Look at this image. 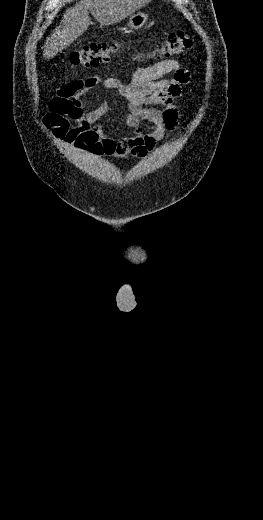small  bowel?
<instances>
[{"label": "small bowel", "instance_id": "small-bowel-1", "mask_svg": "<svg viewBox=\"0 0 263 520\" xmlns=\"http://www.w3.org/2000/svg\"><path fill=\"white\" fill-rule=\"evenodd\" d=\"M169 74L172 76L167 77ZM190 79V72L179 60L166 59L136 69L127 84L116 78L75 80L57 90L43 124L52 129L57 139L79 151L94 156L141 158L152 151L166 133L176 128L177 101L183 98V86L188 85ZM98 86L115 90L127 101L125 124L133 135L116 140L105 134L102 125L96 124L110 108L105 103L85 108L83 96ZM156 105L163 109L155 108ZM143 122L148 124L146 131Z\"/></svg>", "mask_w": 263, "mask_h": 520}]
</instances>
